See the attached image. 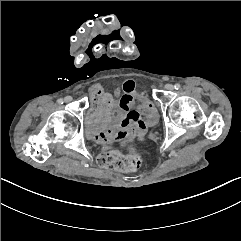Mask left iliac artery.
<instances>
[{"label":"left iliac artery","instance_id":"left-iliac-artery-1","mask_svg":"<svg viewBox=\"0 0 241 241\" xmlns=\"http://www.w3.org/2000/svg\"><path fill=\"white\" fill-rule=\"evenodd\" d=\"M174 88H175L176 90H179V89L181 88V85H180L179 83H176V84L174 85Z\"/></svg>","mask_w":241,"mask_h":241}]
</instances>
